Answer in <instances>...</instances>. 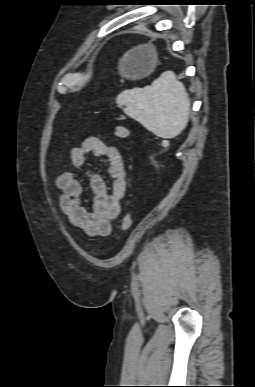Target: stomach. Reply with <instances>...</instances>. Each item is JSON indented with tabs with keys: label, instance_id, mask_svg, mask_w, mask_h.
<instances>
[{
	"label": "stomach",
	"instance_id": "stomach-1",
	"mask_svg": "<svg viewBox=\"0 0 255 387\" xmlns=\"http://www.w3.org/2000/svg\"><path fill=\"white\" fill-rule=\"evenodd\" d=\"M157 53L151 45H141L128 51L120 61L119 73L136 80L150 75L157 66Z\"/></svg>",
	"mask_w": 255,
	"mask_h": 387
}]
</instances>
